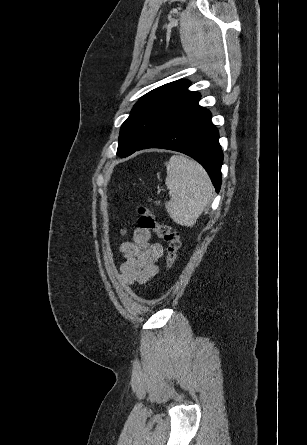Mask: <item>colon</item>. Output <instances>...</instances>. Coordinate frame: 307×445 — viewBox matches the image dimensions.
Listing matches in <instances>:
<instances>
[{
    "mask_svg": "<svg viewBox=\"0 0 307 445\" xmlns=\"http://www.w3.org/2000/svg\"><path fill=\"white\" fill-rule=\"evenodd\" d=\"M138 227L154 232L159 238L166 242V265L170 269L177 260L181 245L179 233L166 224L159 223L154 216L153 210L146 206L140 207Z\"/></svg>",
    "mask_w": 307,
    "mask_h": 445,
    "instance_id": "colon-1",
    "label": "colon"
}]
</instances>
